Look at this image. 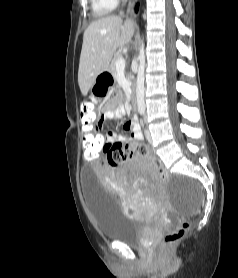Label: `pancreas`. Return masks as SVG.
Masks as SVG:
<instances>
[{
    "label": "pancreas",
    "instance_id": "1",
    "mask_svg": "<svg viewBox=\"0 0 238 278\" xmlns=\"http://www.w3.org/2000/svg\"><path fill=\"white\" fill-rule=\"evenodd\" d=\"M121 57H122L121 53L115 54L110 63L109 71L114 78H116V76H117L116 61ZM126 77L128 78L129 81H132V79H133V77L129 73H126Z\"/></svg>",
    "mask_w": 238,
    "mask_h": 278
}]
</instances>
